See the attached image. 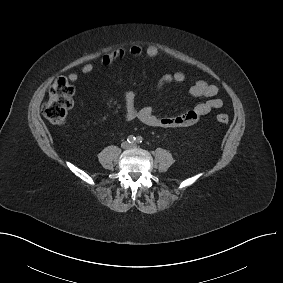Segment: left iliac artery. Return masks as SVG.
<instances>
[{
	"label": "left iliac artery",
	"instance_id": "left-iliac-artery-1",
	"mask_svg": "<svg viewBox=\"0 0 283 283\" xmlns=\"http://www.w3.org/2000/svg\"><path fill=\"white\" fill-rule=\"evenodd\" d=\"M136 142L139 143V144L142 143L143 142V138L141 136H138L136 138Z\"/></svg>",
	"mask_w": 283,
	"mask_h": 283
}]
</instances>
